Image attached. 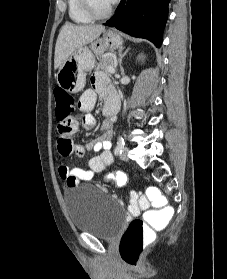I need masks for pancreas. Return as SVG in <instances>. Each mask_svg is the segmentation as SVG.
I'll use <instances>...</instances> for the list:
<instances>
[{
	"mask_svg": "<svg viewBox=\"0 0 227 279\" xmlns=\"http://www.w3.org/2000/svg\"><path fill=\"white\" fill-rule=\"evenodd\" d=\"M108 66L115 67L114 60L110 57H104L101 58L100 61L97 63L95 70L109 72Z\"/></svg>",
	"mask_w": 227,
	"mask_h": 279,
	"instance_id": "1",
	"label": "pancreas"
}]
</instances>
